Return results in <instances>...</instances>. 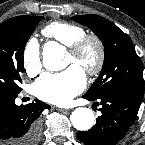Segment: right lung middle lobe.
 Instances as JSON below:
<instances>
[{
  "instance_id": "1",
  "label": "right lung middle lobe",
  "mask_w": 145,
  "mask_h": 145,
  "mask_svg": "<svg viewBox=\"0 0 145 145\" xmlns=\"http://www.w3.org/2000/svg\"><path fill=\"white\" fill-rule=\"evenodd\" d=\"M42 16L11 29L0 30V88L20 92V74L24 72L23 53L26 42Z\"/></svg>"
}]
</instances>
